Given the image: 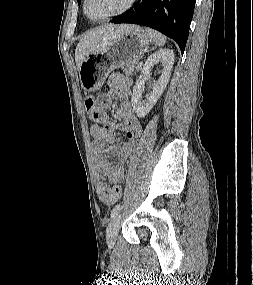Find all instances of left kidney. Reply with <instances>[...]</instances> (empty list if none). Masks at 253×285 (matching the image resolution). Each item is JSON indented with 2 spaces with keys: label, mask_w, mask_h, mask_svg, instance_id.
I'll list each match as a JSON object with an SVG mask.
<instances>
[{
  "label": "left kidney",
  "mask_w": 253,
  "mask_h": 285,
  "mask_svg": "<svg viewBox=\"0 0 253 285\" xmlns=\"http://www.w3.org/2000/svg\"><path fill=\"white\" fill-rule=\"evenodd\" d=\"M174 59V53L170 49H160L148 57L142 68L140 78L136 81L133 87L131 98L133 109L138 117L141 118L146 116L162 95L169 82L171 70L174 65ZM156 64H161L163 66L161 76L155 82L153 91L148 99L142 100L144 81L150 75L151 69Z\"/></svg>",
  "instance_id": "obj_1"
}]
</instances>
